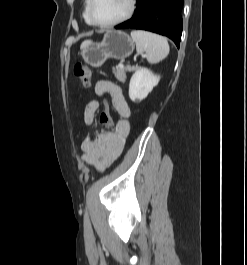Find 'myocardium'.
I'll return each mask as SVG.
<instances>
[{
    "mask_svg": "<svg viewBox=\"0 0 247 265\" xmlns=\"http://www.w3.org/2000/svg\"><path fill=\"white\" fill-rule=\"evenodd\" d=\"M93 4H94V0H88L87 15H88L89 21L92 25L99 27V28H104V29L116 27L118 25H121L127 22L133 17L136 11V8H137V0H129L128 10L123 16L109 23H100V22H97L93 17V14H92Z\"/></svg>",
    "mask_w": 247,
    "mask_h": 265,
    "instance_id": "1",
    "label": "myocardium"
}]
</instances>
